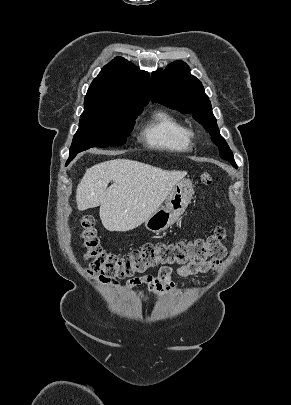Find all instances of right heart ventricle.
I'll use <instances>...</instances> for the list:
<instances>
[{"label": "right heart ventricle", "mask_w": 291, "mask_h": 405, "mask_svg": "<svg viewBox=\"0 0 291 405\" xmlns=\"http://www.w3.org/2000/svg\"><path fill=\"white\" fill-rule=\"evenodd\" d=\"M142 136L151 147L187 152L193 147V133L178 117L165 110L153 113L142 129Z\"/></svg>", "instance_id": "obj_1"}]
</instances>
